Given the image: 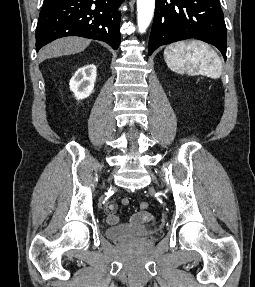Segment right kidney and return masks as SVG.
<instances>
[{"mask_svg":"<svg viewBox=\"0 0 255 287\" xmlns=\"http://www.w3.org/2000/svg\"><path fill=\"white\" fill-rule=\"evenodd\" d=\"M96 80V66L87 64L83 68H78L70 80V90L74 92L77 100L90 96Z\"/></svg>","mask_w":255,"mask_h":287,"instance_id":"obj_1","label":"right kidney"}]
</instances>
